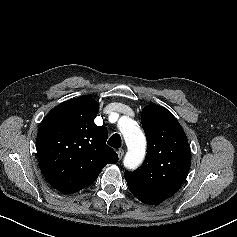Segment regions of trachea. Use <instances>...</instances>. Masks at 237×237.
<instances>
[{
	"label": "trachea",
	"mask_w": 237,
	"mask_h": 237,
	"mask_svg": "<svg viewBox=\"0 0 237 237\" xmlns=\"http://www.w3.org/2000/svg\"><path fill=\"white\" fill-rule=\"evenodd\" d=\"M107 143H108V145H110L113 148H116V149L120 148L121 144H122L120 135L119 134H113L109 138Z\"/></svg>",
	"instance_id": "3493384b"
}]
</instances>
